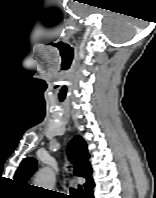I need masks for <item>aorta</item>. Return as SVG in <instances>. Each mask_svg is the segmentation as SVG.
<instances>
[{"mask_svg": "<svg viewBox=\"0 0 156 198\" xmlns=\"http://www.w3.org/2000/svg\"><path fill=\"white\" fill-rule=\"evenodd\" d=\"M35 186L51 190L55 183V173L50 167H45L39 171L35 177Z\"/></svg>", "mask_w": 156, "mask_h": 198, "instance_id": "762f6f07", "label": "aorta"}]
</instances>
